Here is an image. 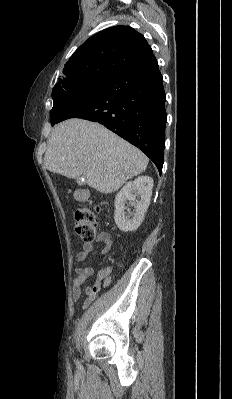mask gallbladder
Wrapping results in <instances>:
<instances>
[{
    "mask_svg": "<svg viewBox=\"0 0 232 399\" xmlns=\"http://www.w3.org/2000/svg\"><path fill=\"white\" fill-rule=\"evenodd\" d=\"M77 184H79V186H86L87 184L86 176H80V178H78L77 180Z\"/></svg>",
    "mask_w": 232,
    "mask_h": 399,
    "instance_id": "gallbladder-1",
    "label": "gallbladder"
}]
</instances>
